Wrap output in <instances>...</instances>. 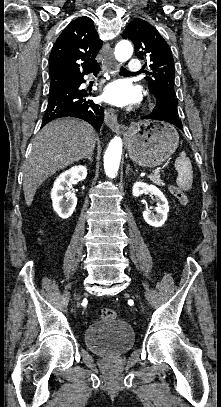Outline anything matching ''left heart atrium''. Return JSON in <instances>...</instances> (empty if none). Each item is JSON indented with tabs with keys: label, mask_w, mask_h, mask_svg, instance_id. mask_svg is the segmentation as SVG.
Instances as JSON below:
<instances>
[{
	"label": "left heart atrium",
	"mask_w": 221,
	"mask_h": 407,
	"mask_svg": "<svg viewBox=\"0 0 221 407\" xmlns=\"http://www.w3.org/2000/svg\"><path fill=\"white\" fill-rule=\"evenodd\" d=\"M103 99L116 106H128L141 100V91L127 79H118L105 88Z\"/></svg>",
	"instance_id": "1"
}]
</instances>
